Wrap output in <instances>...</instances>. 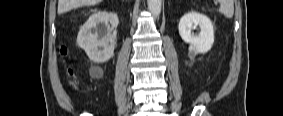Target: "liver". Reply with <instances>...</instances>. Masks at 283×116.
<instances>
[{
    "mask_svg": "<svg viewBox=\"0 0 283 116\" xmlns=\"http://www.w3.org/2000/svg\"><path fill=\"white\" fill-rule=\"evenodd\" d=\"M99 2H101V0H58V14L61 15L74 8L85 5H95Z\"/></svg>",
    "mask_w": 283,
    "mask_h": 116,
    "instance_id": "6515ba94",
    "label": "liver"
}]
</instances>
